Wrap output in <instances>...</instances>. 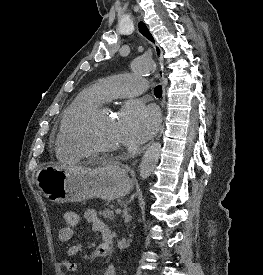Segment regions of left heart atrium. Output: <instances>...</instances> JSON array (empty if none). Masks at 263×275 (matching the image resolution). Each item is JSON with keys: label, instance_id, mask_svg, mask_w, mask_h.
<instances>
[{"label": "left heart atrium", "instance_id": "left-heart-atrium-1", "mask_svg": "<svg viewBox=\"0 0 263 275\" xmlns=\"http://www.w3.org/2000/svg\"><path fill=\"white\" fill-rule=\"evenodd\" d=\"M159 122L157 110L143 102H129L118 116V124L125 143L136 146L148 140Z\"/></svg>", "mask_w": 263, "mask_h": 275}]
</instances>
